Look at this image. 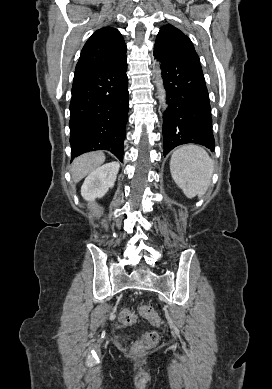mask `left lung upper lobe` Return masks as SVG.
Segmentation results:
<instances>
[{
    "label": "left lung upper lobe",
    "mask_w": 272,
    "mask_h": 389,
    "mask_svg": "<svg viewBox=\"0 0 272 389\" xmlns=\"http://www.w3.org/2000/svg\"><path fill=\"white\" fill-rule=\"evenodd\" d=\"M154 50L172 59L200 63L189 37L172 25H164L160 29Z\"/></svg>",
    "instance_id": "obj_1"
}]
</instances>
